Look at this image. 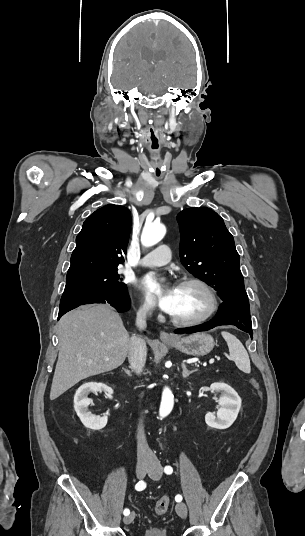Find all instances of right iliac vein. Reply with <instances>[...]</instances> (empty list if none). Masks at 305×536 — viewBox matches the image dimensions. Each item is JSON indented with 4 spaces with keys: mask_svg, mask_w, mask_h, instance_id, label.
I'll use <instances>...</instances> for the list:
<instances>
[{
    "mask_svg": "<svg viewBox=\"0 0 305 536\" xmlns=\"http://www.w3.org/2000/svg\"><path fill=\"white\" fill-rule=\"evenodd\" d=\"M151 469L149 465H142V464H139L136 466V474L138 476V478L142 479L144 478L146 472ZM135 518V513L134 512H131L128 516H126L124 518V523L125 524H130Z\"/></svg>",
    "mask_w": 305,
    "mask_h": 536,
    "instance_id": "63e3f726",
    "label": "right iliac vein"
}]
</instances>
